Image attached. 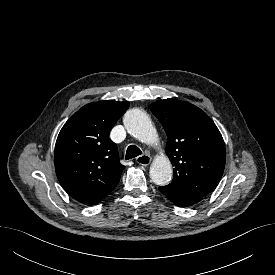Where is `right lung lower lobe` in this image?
I'll use <instances>...</instances> for the list:
<instances>
[{"mask_svg": "<svg viewBox=\"0 0 275 275\" xmlns=\"http://www.w3.org/2000/svg\"><path fill=\"white\" fill-rule=\"evenodd\" d=\"M101 201V200H100ZM100 201H96V202H93V203H90V204H97V203H99Z\"/></svg>", "mask_w": 275, "mask_h": 275, "instance_id": "1", "label": "right lung lower lobe"}]
</instances>
